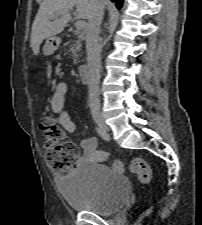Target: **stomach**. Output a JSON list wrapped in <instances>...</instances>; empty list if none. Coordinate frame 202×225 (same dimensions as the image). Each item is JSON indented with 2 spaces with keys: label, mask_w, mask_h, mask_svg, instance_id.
Segmentation results:
<instances>
[{
  "label": "stomach",
  "mask_w": 202,
  "mask_h": 225,
  "mask_svg": "<svg viewBox=\"0 0 202 225\" xmlns=\"http://www.w3.org/2000/svg\"><path fill=\"white\" fill-rule=\"evenodd\" d=\"M58 43L54 38L47 39L44 47H43V53L45 55H51L54 50L57 48Z\"/></svg>",
  "instance_id": "1"
}]
</instances>
